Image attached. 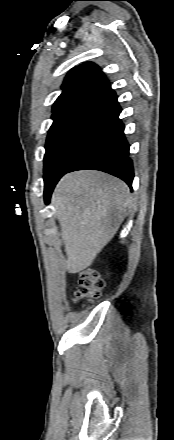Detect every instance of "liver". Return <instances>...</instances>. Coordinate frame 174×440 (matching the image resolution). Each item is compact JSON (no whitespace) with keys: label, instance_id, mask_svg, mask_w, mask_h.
I'll return each instance as SVG.
<instances>
[{"label":"liver","instance_id":"1","mask_svg":"<svg viewBox=\"0 0 174 440\" xmlns=\"http://www.w3.org/2000/svg\"><path fill=\"white\" fill-rule=\"evenodd\" d=\"M67 256L77 273L111 241L132 206L128 186L109 174L84 170L64 175L52 195Z\"/></svg>","mask_w":174,"mask_h":440}]
</instances>
